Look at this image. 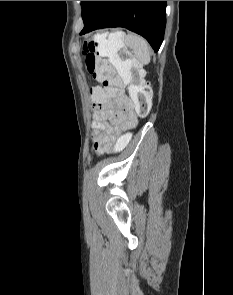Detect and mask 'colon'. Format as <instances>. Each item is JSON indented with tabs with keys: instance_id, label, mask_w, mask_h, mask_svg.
<instances>
[{
	"instance_id": "1",
	"label": "colon",
	"mask_w": 233,
	"mask_h": 295,
	"mask_svg": "<svg viewBox=\"0 0 233 295\" xmlns=\"http://www.w3.org/2000/svg\"><path fill=\"white\" fill-rule=\"evenodd\" d=\"M83 53L89 74L100 83L91 89L92 95L116 96L127 84L137 115L147 116L152 90L139 61L128 50L123 33L96 34L84 41ZM129 140V135H119L112 150H122Z\"/></svg>"
}]
</instances>
